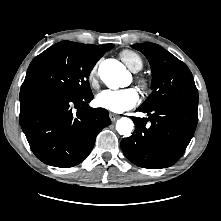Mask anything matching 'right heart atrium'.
Returning a JSON list of instances; mask_svg holds the SVG:
<instances>
[{"instance_id":"1","label":"right heart atrium","mask_w":221,"mask_h":221,"mask_svg":"<svg viewBox=\"0 0 221 221\" xmlns=\"http://www.w3.org/2000/svg\"><path fill=\"white\" fill-rule=\"evenodd\" d=\"M97 67L98 64H95L88 73V81L93 88L97 86Z\"/></svg>"}]
</instances>
